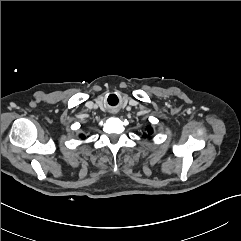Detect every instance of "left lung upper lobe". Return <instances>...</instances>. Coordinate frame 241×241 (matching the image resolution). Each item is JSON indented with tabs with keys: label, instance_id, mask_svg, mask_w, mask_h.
Returning a JSON list of instances; mask_svg holds the SVG:
<instances>
[{
	"label": "left lung upper lobe",
	"instance_id": "left-lung-upper-lobe-1",
	"mask_svg": "<svg viewBox=\"0 0 241 241\" xmlns=\"http://www.w3.org/2000/svg\"><path fill=\"white\" fill-rule=\"evenodd\" d=\"M147 131H148V133H149V135H150L153 130H152L151 127H148V128H147ZM146 136H147V135H146V133H145V134H144V137H146Z\"/></svg>",
	"mask_w": 241,
	"mask_h": 241
}]
</instances>
